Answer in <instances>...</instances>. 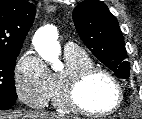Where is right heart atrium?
Instances as JSON below:
<instances>
[{"instance_id": "obj_1", "label": "right heart atrium", "mask_w": 142, "mask_h": 119, "mask_svg": "<svg viewBox=\"0 0 142 119\" xmlns=\"http://www.w3.org/2000/svg\"><path fill=\"white\" fill-rule=\"evenodd\" d=\"M51 81V73L42 58L35 51L27 50L14 71L18 98L31 107H44L50 99Z\"/></svg>"}]
</instances>
